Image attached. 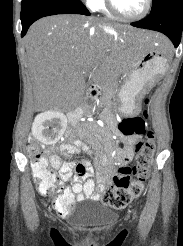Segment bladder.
Wrapping results in <instances>:
<instances>
[{
	"instance_id": "1",
	"label": "bladder",
	"mask_w": 183,
	"mask_h": 246,
	"mask_svg": "<svg viewBox=\"0 0 183 246\" xmlns=\"http://www.w3.org/2000/svg\"><path fill=\"white\" fill-rule=\"evenodd\" d=\"M112 214L111 209L106 206H92L76 214L73 220L77 225L83 227L100 226L105 224Z\"/></svg>"
}]
</instances>
